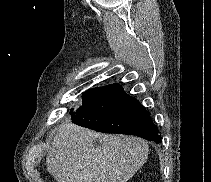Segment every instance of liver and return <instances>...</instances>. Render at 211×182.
I'll use <instances>...</instances> for the list:
<instances>
[{"instance_id": "liver-1", "label": "liver", "mask_w": 211, "mask_h": 182, "mask_svg": "<svg viewBox=\"0 0 211 182\" xmlns=\"http://www.w3.org/2000/svg\"><path fill=\"white\" fill-rule=\"evenodd\" d=\"M147 157L148 144L141 138L101 134L68 122L58 127L46 163L57 182H127Z\"/></svg>"}]
</instances>
